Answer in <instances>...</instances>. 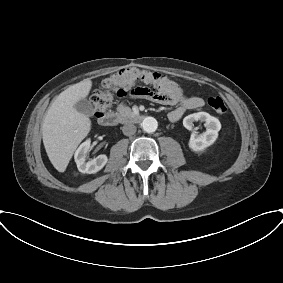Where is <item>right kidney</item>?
I'll use <instances>...</instances> for the list:
<instances>
[{
  "mask_svg": "<svg viewBox=\"0 0 283 283\" xmlns=\"http://www.w3.org/2000/svg\"><path fill=\"white\" fill-rule=\"evenodd\" d=\"M90 140L83 142L76 150L74 159L78 170L81 173L94 174L100 171L107 163L106 155H99L96 158L86 162V156L90 148Z\"/></svg>",
  "mask_w": 283,
  "mask_h": 283,
  "instance_id": "1",
  "label": "right kidney"
}]
</instances>
